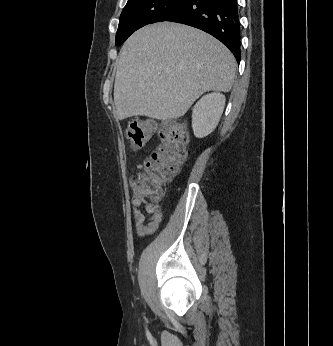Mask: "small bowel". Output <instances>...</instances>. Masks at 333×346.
<instances>
[{
	"instance_id": "obj_1",
	"label": "small bowel",
	"mask_w": 333,
	"mask_h": 346,
	"mask_svg": "<svg viewBox=\"0 0 333 346\" xmlns=\"http://www.w3.org/2000/svg\"><path fill=\"white\" fill-rule=\"evenodd\" d=\"M131 188L132 215L135 221L136 232L144 237L155 233L162 222V211L158 204H152L144 200L138 191V179L131 176L129 179Z\"/></svg>"
}]
</instances>
